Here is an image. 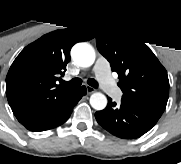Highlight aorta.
Instances as JSON below:
<instances>
[{
	"label": "aorta",
	"instance_id": "762f6f07",
	"mask_svg": "<svg viewBox=\"0 0 181 164\" xmlns=\"http://www.w3.org/2000/svg\"><path fill=\"white\" fill-rule=\"evenodd\" d=\"M71 56L74 62L81 67H90L96 58L94 49L86 43L75 45L71 51ZM90 105L95 110H103L107 105V98L100 92L94 93L90 97Z\"/></svg>",
	"mask_w": 181,
	"mask_h": 164
}]
</instances>
